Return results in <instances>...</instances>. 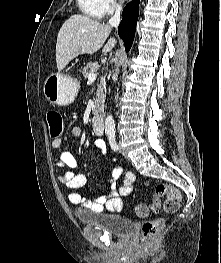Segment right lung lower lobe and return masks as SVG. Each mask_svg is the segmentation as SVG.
Returning a JSON list of instances; mask_svg holds the SVG:
<instances>
[{"instance_id": "98d812e1", "label": "right lung lower lobe", "mask_w": 221, "mask_h": 263, "mask_svg": "<svg viewBox=\"0 0 221 263\" xmlns=\"http://www.w3.org/2000/svg\"><path fill=\"white\" fill-rule=\"evenodd\" d=\"M139 3L140 0H133L124 8L123 18L118 27V34L124 42L126 52L130 50L133 43L139 15Z\"/></svg>"}]
</instances>
